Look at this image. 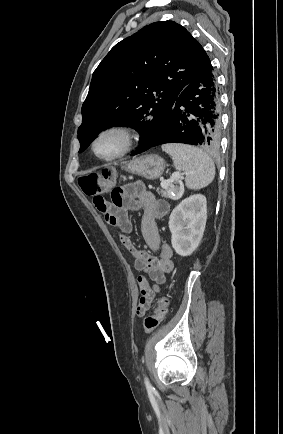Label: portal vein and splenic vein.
Wrapping results in <instances>:
<instances>
[{"label": "portal vein and splenic vein", "instance_id": "obj_1", "mask_svg": "<svg viewBox=\"0 0 283 434\" xmlns=\"http://www.w3.org/2000/svg\"><path fill=\"white\" fill-rule=\"evenodd\" d=\"M181 177V175L179 173H174L172 174L171 178L168 180H162L161 181V186L163 188L169 186L171 183H173L174 181L178 180Z\"/></svg>", "mask_w": 283, "mask_h": 434}]
</instances>
